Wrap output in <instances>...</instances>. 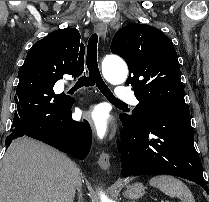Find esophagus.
<instances>
[{"instance_id":"obj_1","label":"esophagus","mask_w":209,"mask_h":202,"mask_svg":"<svg viewBox=\"0 0 209 202\" xmlns=\"http://www.w3.org/2000/svg\"><path fill=\"white\" fill-rule=\"evenodd\" d=\"M95 30L99 38L104 39L107 33V25L103 22H98L95 26ZM98 164L104 171H108L110 168L109 154L106 152H102L99 156Z\"/></svg>"}]
</instances>
